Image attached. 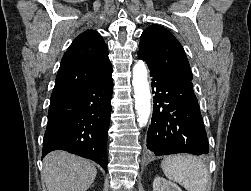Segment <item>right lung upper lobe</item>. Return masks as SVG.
<instances>
[{
    "instance_id": "1",
    "label": "right lung upper lobe",
    "mask_w": 251,
    "mask_h": 191,
    "mask_svg": "<svg viewBox=\"0 0 251 191\" xmlns=\"http://www.w3.org/2000/svg\"><path fill=\"white\" fill-rule=\"evenodd\" d=\"M111 74L107 45L98 32L87 30L72 42L64 54L51 101L94 86Z\"/></svg>"
}]
</instances>
